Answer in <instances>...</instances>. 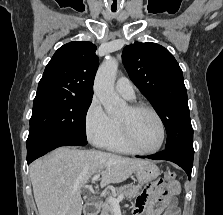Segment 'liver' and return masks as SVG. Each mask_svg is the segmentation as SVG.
Returning a JSON list of instances; mask_svg holds the SVG:
<instances>
[{
  "label": "liver",
  "mask_w": 223,
  "mask_h": 215,
  "mask_svg": "<svg viewBox=\"0 0 223 215\" xmlns=\"http://www.w3.org/2000/svg\"><path fill=\"white\" fill-rule=\"evenodd\" d=\"M148 159L122 157L98 149L58 147L30 165L39 215H81V187L94 173H102L101 187L120 183Z\"/></svg>",
  "instance_id": "6515ba94"
}]
</instances>
